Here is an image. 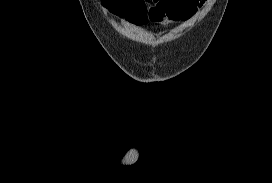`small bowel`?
I'll list each match as a JSON object with an SVG mask.
<instances>
[{"label": "small bowel", "instance_id": "obj_1", "mask_svg": "<svg viewBox=\"0 0 272 183\" xmlns=\"http://www.w3.org/2000/svg\"><path fill=\"white\" fill-rule=\"evenodd\" d=\"M114 15L136 26L167 19L184 21L191 18L205 0H103Z\"/></svg>", "mask_w": 272, "mask_h": 183}]
</instances>
